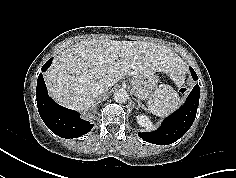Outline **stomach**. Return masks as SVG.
I'll return each mask as SVG.
<instances>
[{
    "label": "stomach",
    "mask_w": 236,
    "mask_h": 178,
    "mask_svg": "<svg viewBox=\"0 0 236 178\" xmlns=\"http://www.w3.org/2000/svg\"><path fill=\"white\" fill-rule=\"evenodd\" d=\"M158 83V77L155 74L136 78L132 85V91L137 99L148 98Z\"/></svg>",
    "instance_id": "0dacf381"
}]
</instances>
